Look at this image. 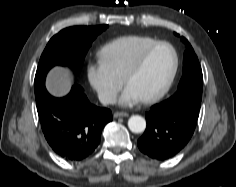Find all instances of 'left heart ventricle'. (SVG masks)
Wrapping results in <instances>:
<instances>
[{"instance_id": "1", "label": "left heart ventricle", "mask_w": 236, "mask_h": 187, "mask_svg": "<svg viewBox=\"0 0 236 187\" xmlns=\"http://www.w3.org/2000/svg\"><path fill=\"white\" fill-rule=\"evenodd\" d=\"M173 61L170 48L161 46L155 49L148 56L141 70L129 81L127 87L132 89L139 99L156 93L166 83Z\"/></svg>"}]
</instances>
